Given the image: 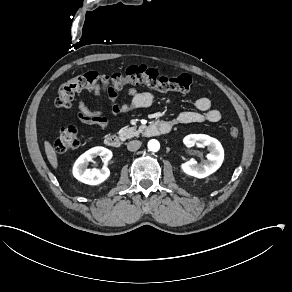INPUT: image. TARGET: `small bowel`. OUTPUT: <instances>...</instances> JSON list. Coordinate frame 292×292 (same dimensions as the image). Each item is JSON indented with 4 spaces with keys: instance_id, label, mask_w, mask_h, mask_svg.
Here are the masks:
<instances>
[{
    "instance_id": "1",
    "label": "small bowel",
    "mask_w": 292,
    "mask_h": 292,
    "mask_svg": "<svg viewBox=\"0 0 292 292\" xmlns=\"http://www.w3.org/2000/svg\"><path fill=\"white\" fill-rule=\"evenodd\" d=\"M92 94L99 103L102 102L103 89L100 85L92 88ZM106 98L111 112L115 115H122L137 109L147 108L155 100L153 93L139 91L136 88H130L124 100H119V93L116 89L107 90ZM195 107L196 110L180 112L164 121H168L174 126L201 122L217 123L222 118L221 111L212 108L211 100L207 97L198 98L195 102ZM77 118L81 123L96 126L103 131H106L109 127V122L103 108L91 109L82 98L77 101Z\"/></svg>"
}]
</instances>
